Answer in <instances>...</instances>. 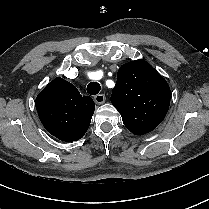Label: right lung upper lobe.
<instances>
[{"instance_id": "right-lung-upper-lobe-1", "label": "right lung upper lobe", "mask_w": 209, "mask_h": 209, "mask_svg": "<svg viewBox=\"0 0 209 209\" xmlns=\"http://www.w3.org/2000/svg\"><path fill=\"white\" fill-rule=\"evenodd\" d=\"M35 105L45 129L65 142L84 136L95 110L90 96H82L73 84L61 77L38 94Z\"/></svg>"}]
</instances>
